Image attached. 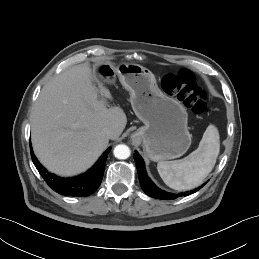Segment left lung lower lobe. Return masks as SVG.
Masks as SVG:
<instances>
[{
	"label": "left lung lower lobe",
	"mask_w": 259,
	"mask_h": 259,
	"mask_svg": "<svg viewBox=\"0 0 259 259\" xmlns=\"http://www.w3.org/2000/svg\"><path fill=\"white\" fill-rule=\"evenodd\" d=\"M134 159H135L136 167H137V170H138V177H139L140 185H141L143 191L147 195H149L153 198L162 199V200L176 199L179 196H187V195L193 194L196 191H198L200 188H202L203 185L206 184L205 183L199 188H196L194 190L187 191V192H184V193L174 194V193L166 192L164 190L159 189L157 186H155L154 183L147 176V174L145 172L143 159L141 158V156L138 154L137 151L134 154Z\"/></svg>",
	"instance_id": "1"
}]
</instances>
